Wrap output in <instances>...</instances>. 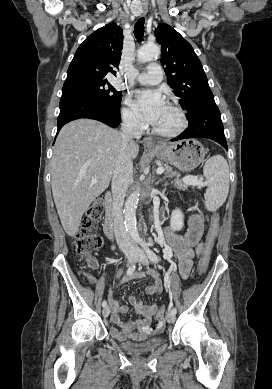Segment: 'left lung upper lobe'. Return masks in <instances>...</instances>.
<instances>
[{
    "mask_svg": "<svg viewBox=\"0 0 272 389\" xmlns=\"http://www.w3.org/2000/svg\"><path fill=\"white\" fill-rule=\"evenodd\" d=\"M161 44V64L167 82L180 98V105L191 115L204 103L214 100L202 64L192 46L168 24L155 29Z\"/></svg>",
    "mask_w": 272,
    "mask_h": 389,
    "instance_id": "5c2ea615",
    "label": "left lung upper lobe"
}]
</instances>
